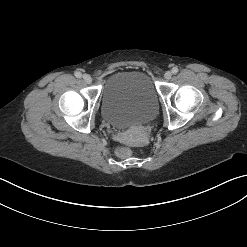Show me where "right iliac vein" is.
<instances>
[{"label": "right iliac vein", "mask_w": 247, "mask_h": 247, "mask_svg": "<svg viewBox=\"0 0 247 247\" xmlns=\"http://www.w3.org/2000/svg\"><path fill=\"white\" fill-rule=\"evenodd\" d=\"M83 80L87 83V84H90L92 82V78L90 75L88 74H84L83 75Z\"/></svg>", "instance_id": "obj_1"}]
</instances>
